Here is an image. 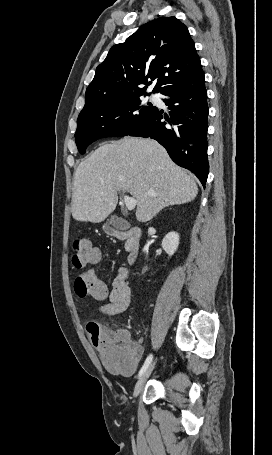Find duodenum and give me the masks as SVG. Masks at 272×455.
Wrapping results in <instances>:
<instances>
[{"label": "duodenum", "instance_id": "410a0bca", "mask_svg": "<svg viewBox=\"0 0 272 455\" xmlns=\"http://www.w3.org/2000/svg\"><path fill=\"white\" fill-rule=\"evenodd\" d=\"M110 233L117 239L127 242V261L129 264H134L139 255L141 229L138 227H130L128 229L111 228Z\"/></svg>", "mask_w": 272, "mask_h": 455}]
</instances>
